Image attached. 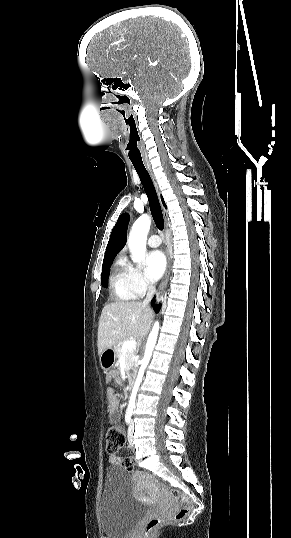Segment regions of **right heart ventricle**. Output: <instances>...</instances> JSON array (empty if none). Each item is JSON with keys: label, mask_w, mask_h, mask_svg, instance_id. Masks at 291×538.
I'll use <instances>...</instances> for the list:
<instances>
[{"label": "right heart ventricle", "mask_w": 291, "mask_h": 538, "mask_svg": "<svg viewBox=\"0 0 291 538\" xmlns=\"http://www.w3.org/2000/svg\"><path fill=\"white\" fill-rule=\"evenodd\" d=\"M110 286L117 301H131L138 296L130 279L129 268L122 260H118L112 267Z\"/></svg>", "instance_id": "right-heart-ventricle-1"}]
</instances>
